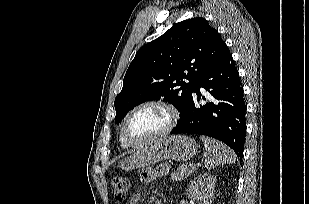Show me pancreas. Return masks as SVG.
Instances as JSON below:
<instances>
[{
	"label": "pancreas",
	"instance_id": "obj_1",
	"mask_svg": "<svg viewBox=\"0 0 309 204\" xmlns=\"http://www.w3.org/2000/svg\"><path fill=\"white\" fill-rule=\"evenodd\" d=\"M196 169V166L193 164H183L179 166L176 171L171 173V178L174 180H181L191 175Z\"/></svg>",
	"mask_w": 309,
	"mask_h": 204
}]
</instances>
